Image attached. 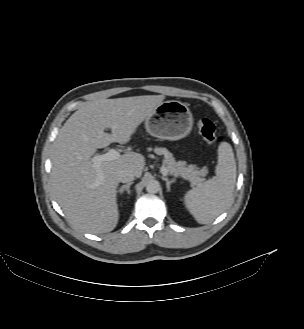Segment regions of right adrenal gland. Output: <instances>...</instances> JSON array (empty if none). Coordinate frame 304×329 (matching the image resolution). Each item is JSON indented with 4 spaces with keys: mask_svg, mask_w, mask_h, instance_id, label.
Wrapping results in <instances>:
<instances>
[{
    "mask_svg": "<svg viewBox=\"0 0 304 329\" xmlns=\"http://www.w3.org/2000/svg\"><path fill=\"white\" fill-rule=\"evenodd\" d=\"M132 182L127 183L126 185H123L119 189V194L122 195L124 191H126L130 195V186L132 185Z\"/></svg>",
    "mask_w": 304,
    "mask_h": 329,
    "instance_id": "right-adrenal-gland-1",
    "label": "right adrenal gland"
}]
</instances>
